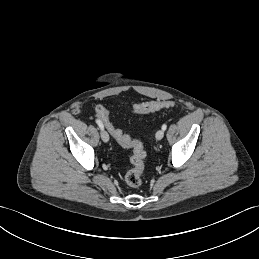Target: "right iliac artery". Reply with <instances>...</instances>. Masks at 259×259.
I'll return each mask as SVG.
<instances>
[{"mask_svg":"<svg viewBox=\"0 0 259 259\" xmlns=\"http://www.w3.org/2000/svg\"><path fill=\"white\" fill-rule=\"evenodd\" d=\"M96 123H97V125L99 126V128L101 129V130H103L104 129V126H103V124H102V122L100 121V120H96Z\"/></svg>","mask_w":259,"mask_h":259,"instance_id":"obj_1","label":"right iliac artery"}]
</instances>
